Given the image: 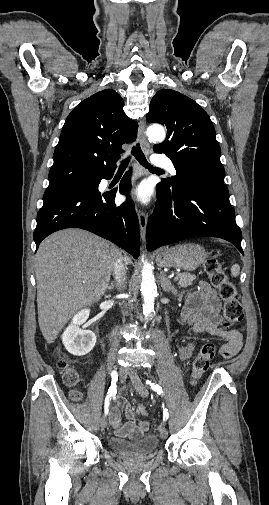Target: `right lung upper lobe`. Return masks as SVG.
Here are the masks:
<instances>
[{
    "mask_svg": "<svg viewBox=\"0 0 269 505\" xmlns=\"http://www.w3.org/2000/svg\"><path fill=\"white\" fill-rule=\"evenodd\" d=\"M124 101L112 89L102 90L79 103L68 115L55 148L46 191L89 181L115 171L124 152L122 144L137 136Z\"/></svg>",
    "mask_w": 269,
    "mask_h": 505,
    "instance_id": "obj_1",
    "label": "right lung upper lobe"
}]
</instances>
